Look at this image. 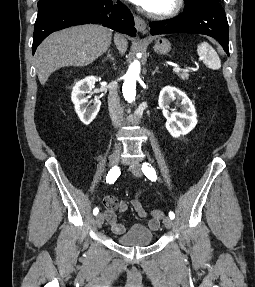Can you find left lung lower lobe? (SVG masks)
Masks as SVG:
<instances>
[{
	"instance_id": "1",
	"label": "left lung lower lobe",
	"mask_w": 255,
	"mask_h": 287,
	"mask_svg": "<svg viewBox=\"0 0 255 287\" xmlns=\"http://www.w3.org/2000/svg\"><path fill=\"white\" fill-rule=\"evenodd\" d=\"M149 26L152 35L195 33L211 36L219 41L229 55L228 22L217 0H192L186 3L182 15L170 20L150 22Z\"/></svg>"
}]
</instances>
